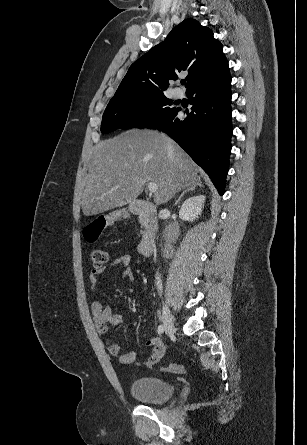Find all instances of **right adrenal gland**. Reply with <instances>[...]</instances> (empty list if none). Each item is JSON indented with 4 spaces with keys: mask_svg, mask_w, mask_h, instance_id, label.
I'll return each mask as SVG.
<instances>
[{
    "mask_svg": "<svg viewBox=\"0 0 307 445\" xmlns=\"http://www.w3.org/2000/svg\"><path fill=\"white\" fill-rule=\"evenodd\" d=\"M198 180H196V182H194V184H192V186H188V188H186V190H183L182 194H180L179 198H177L176 202H174V204H178L179 200H181L182 196H184V194H186V192H190V190H195L196 186H203V184H201V176H197Z\"/></svg>",
    "mask_w": 307,
    "mask_h": 445,
    "instance_id": "obj_1",
    "label": "right adrenal gland"
}]
</instances>
